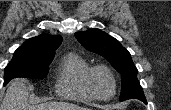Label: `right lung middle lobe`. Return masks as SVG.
<instances>
[{"label":"right lung middle lobe","instance_id":"obj_1","mask_svg":"<svg viewBox=\"0 0 171 110\" xmlns=\"http://www.w3.org/2000/svg\"><path fill=\"white\" fill-rule=\"evenodd\" d=\"M54 56H27L14 53L4 73V84L16 77L43 79Z\"/></svg>","mask_w":171,"mask_h":110}]
</instances>
